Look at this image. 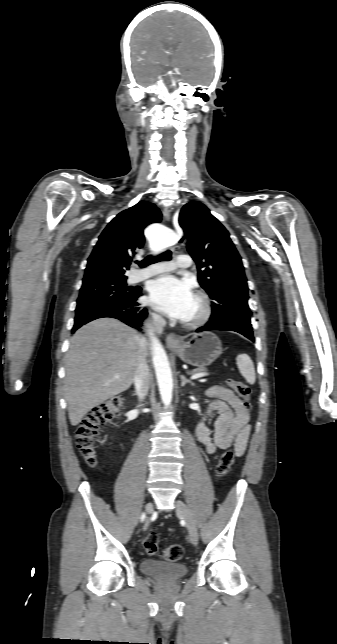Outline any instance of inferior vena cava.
I'll return each instance as SVG.
<instances>
[{
	"label": "inferior vena cava",
	"instance_id": "obj_1",
	"mask_svg": "<svg viewBox=\"0 0 337 644\" xmlns=\"http://www.w3.org/2000/svg\"><path fill=\"white\" fill-rule=\"evenodd\" d=\"M153 324L158 330H162V327L165 325V320L157 315H152ZM141 353L138 357L137 369L134 376V385L136 388V393L140 400L144 399L148 394L149 385H150V376L149 368L146 360V340L141 338Z\"/></svg>",
	"mask_w": 337,
	"mask_h": 644
}]
</instances>
